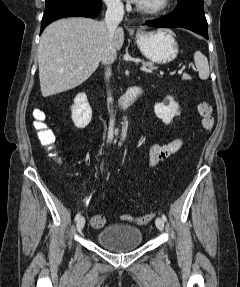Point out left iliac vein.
Instances as JSON below:
<instances>
[{"label":"left iliac vein","mask_w":240,"mask_h":287,"mask_svg":"<svg viewBox=\"0 0 240 287\" xmlns=\"http://www.w3.org/2000/svg\"><path fill=\"white\" fill-rule=\"evenodd\" d=\"M155 224H156V227L162 231L163 228H164V220L160 217L156 218V221H155Z\"/></svg>","instance_id":"4c4485c4"}]
</instances>
